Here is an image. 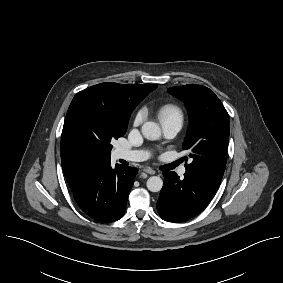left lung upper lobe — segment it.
<instances>
[{
    "label": "left lung upper lobe",
    "mask_w": 283,
    "mask_h": 283,
    "mask_svg": "<svg viewBox=\"0 0 283 283\" xmlns=\"http://www.w3.org/2000/svg\"><path fill=\"white\" fill-rule=\"evenodd\" d=\"M181 99L190 115V129L184 150L191 151L192 162L186 173L217 191L226 166L229 141V115L212 90L201 85L168 88Z\"/></svg>",
    "instance_id": "1"
}]
</instances>
